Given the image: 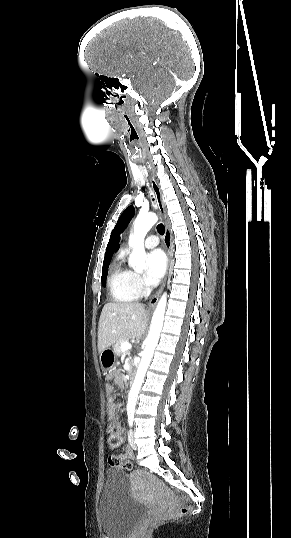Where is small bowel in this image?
I'll list each match as a JSON object with an SVG mask.
<instances>
[{
  "label": "small bowel",
  "mask_w": 291,
  "mask_h": 538,
  "mask_svg": "<svg viewBox=\"0 0 291 538\" xmlns=\"http://www.w3.org/2000/svg\"><path fill=\"white\" fill-rule=\"evenodd\" d=\"M113 380L118 387L124 386V381L119 375H114ZM107 399V416L109 419H115L117 417V406L115 404L113 393L114 387L111 384H108L105 389ZM120 459V460H130L133 458V452L130 447L126 448V453L120 456H110L108 461L111 467H116L111 463V459Z\"/></svg>",
  "instance_id": "small-bowel-1"
}]
</instances>
